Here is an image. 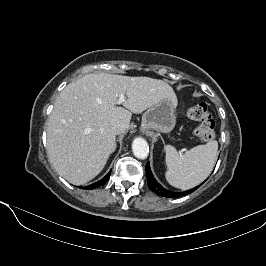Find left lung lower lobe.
<instances>
[{
    "label": "left lung lower lobe",
    "mask_w": 266,
    "mask_h": 266,
    "mask_svg": "<svg viewBox=\"0 0 266 266\" xmlns=\"http://www.w3.org/2000/svg\"><path fill=\"white\" fill-rule=\"evenodd\" d=\"M146 175H147V182H148V187L157 195L159 196H163V197H167V198H178L187 194H190L192 192H194L196 189H198V187L200 186H196L193 189L187 190L185 192H174V191H170L167 190L165 188H163L154 178L149 163L146 164Z\"/></svg>",
    "instance_id": "left-lung-lower-lobe-1"
}]
</instances>
